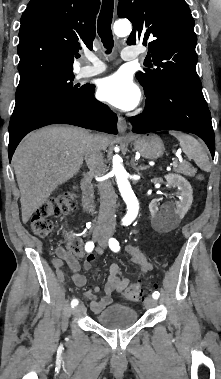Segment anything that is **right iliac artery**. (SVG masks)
I'll return each instance as SVG.
<instances>
[{
  "label": "right iliac artery",
  "mask_w": 221,
  "mask_h": 379,
  "mask_svg": "<svg viewBox=\"0 0 221 379\" xmlns=\"http://www.w3.org/2000/svg\"><path fill=\"white\" fill-rule=\"evenodd\" d=\"M93 249H94V243H93L92 241H88V242L86 243V245H85V250H86L87 252H92ZM78 303H79L78 299H73V300L71 301V306H72V307H75V306L78 305Z\"/></svg>",
  "instance_id": "obj_1"
}]
</instances>
